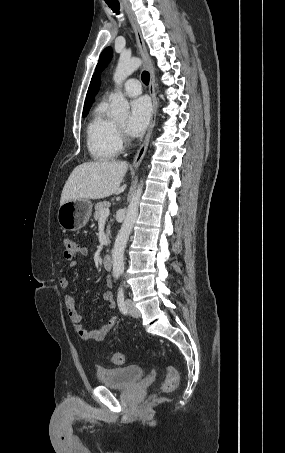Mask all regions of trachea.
I'll return each instance as SVG.
<instances>
[{
    "label": "trachea",
    "instance_id": "3493384b",
    "mask_svg": "<svg viewBox=\"0 0 285 453\" xmlns=\"http://www.w3.org/2000/svg\"><path fill=\"white\" fill-rule=\"evenodd\" d=\"M107 5L113 10L114 13L119 14V9H120V4L117 0H113V2H107L108 0H105ZM149 79L150 75L149 72L144 71L141 75V80L145 85L149 84Z\"/></svg>",
    "mask_w": 285,
    "mask_h": 453
}]
</instances>
